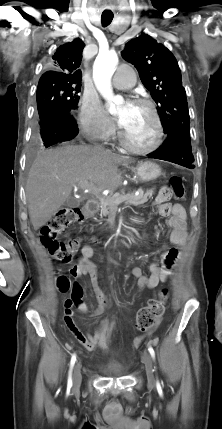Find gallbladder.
Instances as JSON below:
<instances>
[{
	"label": "gallbladder",
	"mask_w": 222,
	"mask_h": 429,
	"mask_svg": "<svg viewBox=\"0 0 222 429\" xmlns=\"http://www.w3.org/2000/svg\"><path fill=\"white\" fill-rule=\"evenodd\" d=\"M80 202H81V200H80V199H77V198H75V197H70V198L66 201L65 205H66V206H68V207H77V206H79V205H80Z\"/></svg>",
	"instance_id": "gallbladder-1"
}]
</instances>
